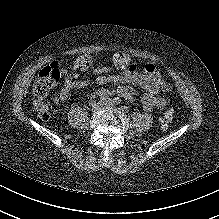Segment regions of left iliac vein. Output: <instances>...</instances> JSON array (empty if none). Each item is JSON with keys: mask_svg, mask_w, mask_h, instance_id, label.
Instances as JSON below:
<instances>
[{"mask_svg": "<svg viewBox=\"0 0 219 219\" xmlns=\"http://www.w3.org/2000/svg\"><path fill=\"white\" fill-rule=\"evenodd\" d=\"M103 106H104V107H112L113 104L109 102V103H105V104H103Z\"/></svg>", "mask_w": 219, "mask_h": 219, "instance_id": "left-iliac-vein-1", "label": "left iliac vein"}]
</instances>
